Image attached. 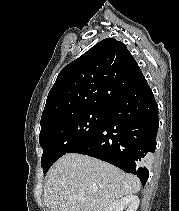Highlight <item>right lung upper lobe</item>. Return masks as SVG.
<instances>
[{"label":"right lung upper lobe","mask_w":179,"mask_h":211,"mask_svg":"<svg viewBox=\"0 0 179 211\" xmlns=\"http://www.w3.org/2000/svg\"><path fill=\"white\" fill-rule=\"evenodd\" d=\"M145 79L127 47L106 38L59 73L41 117V128L82 110L108 108Z\"/></svg>","instance_id":"cb5924a9"}]
</instances>
